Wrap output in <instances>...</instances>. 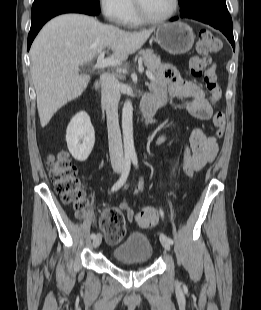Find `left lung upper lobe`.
I'll return each instance as SVG.
<instances>
[{"label":"left lung upper lobe","instance_id":"obj_1","mask_svg":"<svg viewBox=\"0 0 261 310\" xmlns=\"http://www.w3.org/2000/svg\"><path fill=\"white\" fill-rule=\"evenodd\" d=\"M213 1L215 0H179L181 16L194 14Z\"/></svg>","mask_w":261,"mask_h":310}]
</instances>
